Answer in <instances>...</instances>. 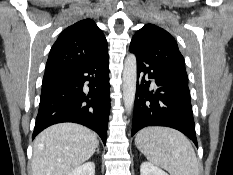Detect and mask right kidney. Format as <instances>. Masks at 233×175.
Returning a JSON list of instances; mask_svg holds the SVG:
<instances>
[{
	"label": "right kidney",
	"mask_w": 233,
	"mask_h": 175,
	"mask_svg": "<svg viewBox=\"0 0 233 175\" xmlns=\"http://www.w3.org/2000/svg\"><path fill=\"white\" fill-rule=\"evenodd\" d=\"M69 175H95L94 162H86L73 170Z\"/></svg>",
	"instance_id": "ca27d5eb"
}]
</instances>
